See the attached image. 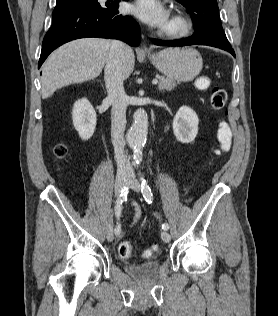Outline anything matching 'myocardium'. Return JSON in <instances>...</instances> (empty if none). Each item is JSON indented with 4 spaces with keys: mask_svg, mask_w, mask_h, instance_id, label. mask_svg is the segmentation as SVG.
Returning a JSON list of instances; mask_svg holds the SVG:
<instances>
[{
    "mask_svg": "<svg viewBox=\"0 0 278 316\" xmlns=\"http://www.w3.org/2000/svg\"><path fill=\"white\" fill-rule=\"evenodd\" d=\"M191 29L190 19L182 11L175 10L159 30V34L165 38L178 39L187 36Z\"/></svg>",
    "mask_w": 278,
    "mask_h": 316,
    "instance_id": "1",
    "label": "myocardium"
}]
</instances>
